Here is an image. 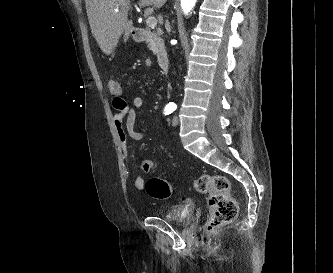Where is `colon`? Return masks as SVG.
<instances>
[{
	"instance_id": "colon-1",
	"label": "colon",
	"mask_w": 333,
	"mask_h": 273,
	"mask_svg": "<svg viewBox=\"0 0 333 273\" xmlns=\"http://www.w3.org/2000/svg\"><path fill=\"white\" fill-rule=\"evenodd\" d=\"M109 92L114 98H120L122 89L117 80L110 79L107 83ZM154 167L151 159H144L141 168L144 172H150ZM197 192L208 195L210 217L207 229L213 230L222 224L232 222L238 213V206L230 194L229 180L223 175L204 174L194 182ZM147 193L156 199H165L172 195V184L159 177L150 178L145 185Z\"/></svg>"
}]
</instances>
